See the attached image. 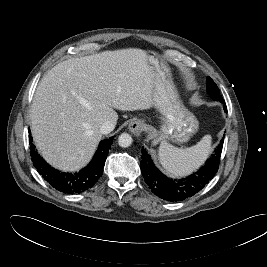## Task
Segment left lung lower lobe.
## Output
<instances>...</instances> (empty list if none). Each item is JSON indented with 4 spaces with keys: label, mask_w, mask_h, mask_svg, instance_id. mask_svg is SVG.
I'll use <instances>...</instances> for the list:
<instances>
[{
    "label": "left lung lower lobe",
    "mask_w": 267,
    "mask_h": 267,
    "mask_svg": "<svg viewBox=\"0 0 267 267\" xmlns=\"http://www.w3.org/2000/svg\"><path fill=\"white\" fill-rule=\"evenodd\" d=\"M221 103H224V100ZM223 107L227 112L226 104ZM222 146L223 139L220 141L215 153L212 154L199 171L178 180L163 175L154 166L150 155L142 148V161L140 162L142 175L147 185L158 197L172 202L187 199L205 187L218 171Z\"/></svg>",
    "instance_id": "1"
}]
</instances>
